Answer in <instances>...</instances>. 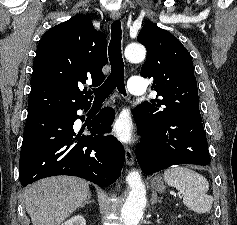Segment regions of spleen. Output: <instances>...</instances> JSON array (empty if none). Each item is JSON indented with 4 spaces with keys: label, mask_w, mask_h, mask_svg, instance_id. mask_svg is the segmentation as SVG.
Segmentation results:
<instances>
[{
    "label": "spleen",
    "mask_w": 237,
    "mask_h": 225,
    "mask_svg": "<svg viewBox=\"0 0 237 225\" xmlns=\"http://www.w3.org/2000/svg\"><path fill=\"white\" fill-rule=\"evenodd\" d=\"M164 180L183 194V203L190 210L204 214L212 208L213 198L207 195L209 183L207 179L183 166H175L165 170Z\"/></svg>",
    "instance_id": "spleen-1"
}]
</instances>
